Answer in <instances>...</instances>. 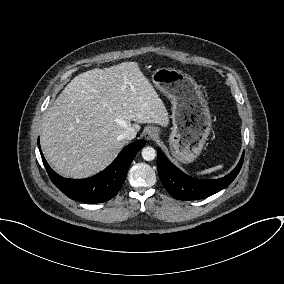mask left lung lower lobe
<instances>
[{
  "mask_svg": "<svg viewBox=\"0 0 284 284\" xmlns=\"http://www.w3.org/2000/svg\"><path fill=\"white\" fill-rule=\"evenodd\" d=\"M244 153L236 168L220 179L200 180L184 174L161 152L157 151V168L162 184L168 193L178 200H194L211 196L227 187L238 175L243 164Z\"/></svg>",
  "mask_w": 284,
  "mask_h": 284,
  "instance_id": "left-lung-lower-lobe-1",
  "label": "left lung lower lobe"
}]
</instances>
